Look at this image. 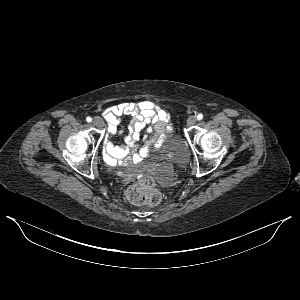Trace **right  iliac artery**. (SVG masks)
I'll return each mask as SVG.
<instances>
[{"label": "right iliac artery", "mask_w": 300, "mask_h": 300, "mask_svg": "<svg viewBox=\"0 0 300 300\" xmlns=\"http://www.w3.org/2000/svg\"><path fill=\"white\" fill-rule=\"evenodd\" d=\"M86 121H87V122H91V121H92V118H91V117H87V118H86Z\"/></svg>", "instance_id": "right-iliac-artery-1"}]
</instances>
